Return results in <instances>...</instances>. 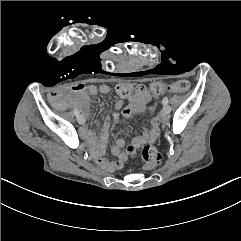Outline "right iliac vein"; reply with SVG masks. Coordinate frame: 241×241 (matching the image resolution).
<instances>
[{
  "instance_id": "obj_1",
  "label": "right iliac vein",
  "mask_w": 241,
  "mask_h": 241,
  "mask_svg": "<svg viewBox=\"0 0 241 241\" xmlns=\"http://www.w3.org/2000/svg\"><path fill=\"white\" fill-rule=\"evenodd\" d=\"M77 121H78V123L79 124H84L85 123V118H84V116L83 115H78L77 116Z\"/></svg>"
}]
</instances>
